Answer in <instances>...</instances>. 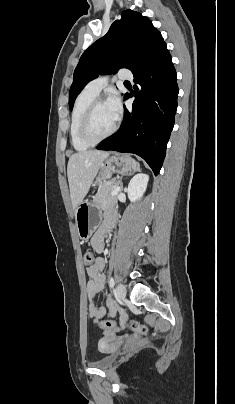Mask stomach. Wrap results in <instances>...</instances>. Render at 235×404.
<instances>
[{
	"instance_id": "1",
	"label": "stomach",
	"mask_w": 235,
	"mask_h": 404,
	"mask_svg": "<svg viewBox=\"0 0 235 404\" xmlns=\"http://www.w3.org/2000/svg\"><path fill=\"white\" fill-rule=\"evenodd\" d=\"M133 168L134 162L130 156L125 154L109 155L101 165L93 185H101L112 174H126ZM74 217L79 238L88 240L100 225L102 210L98 204L84 201L74 210Z\"/></svg>"
}]
</instances>
